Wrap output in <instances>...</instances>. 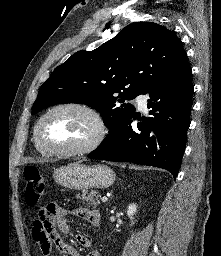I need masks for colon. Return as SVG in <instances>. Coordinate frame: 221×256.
I'll return each instance as SVG.
<instances>
[{
	"label": "colon",
	"instance_id": "obj_1",
	"mask_svg": "<svg viewBox=\"0 0 221 256\" xmlns=\"http://www.w3.org/2000/svg\"><path fill=\"white\" fill-rule=\"evenodd\" d=\"M25 201L28 206H36L45 192V181L40 170L35 166L24 169Z\"/></svg>",
	"mask_w": 221,
	"mask_h": 256
}]
</instances>
